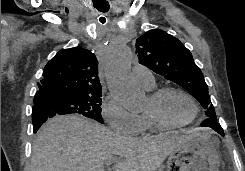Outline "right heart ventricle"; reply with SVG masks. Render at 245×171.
Returning <instances> with one entry per match:
<instances>
[{
	"label": "right heart ventricle",
	"mask_w": 245,
	"mask_h": 171,
	"mask_svg": "<svg viewBox=\"0 0 245 171\" xmlns=\"http://www.w3.org/2000/svg\"><path fill=\"white\" fill-rule=\"evenodd\" d=\"M154 87H152V88H146V89L148 91H152V90H154ZM140 118H141V123H142V130H141L140 133H145L147 131L156 132V131H158L160 129V128H158L157 126H155L153 124V122L150 120V118L147 116V114L145 112H143L140 115Z\"/></svg>",
	"instance_id": "e07e8e85"
}]
</instances>
